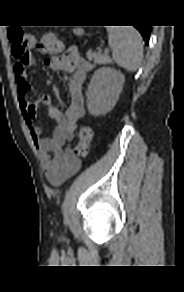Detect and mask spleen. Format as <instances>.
I'll list each match as a JSON object with an SVG mask.
<instances>
[{
    "instance_id": "3e777b00",
    "label": "spleen",
    "mask_w": 184,
    "mask_h": 292,
    "mask_svg": "<svg viewBox=\"0 0 184 292\" xmlns=\"http://www.w3.org/2000/svg\"><path fill=\"white\" fill-rule=\"evenodd\" d=\"M109 45L116 64L135 72L143 58V42L140 33L134 27H108Z\"/></svg>"
}]
</instances>
